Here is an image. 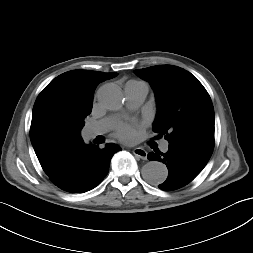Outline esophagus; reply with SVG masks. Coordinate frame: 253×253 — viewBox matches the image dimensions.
<instances>
[{
    "instance_id": "obj_1",
    "label": "esophagus",
    "mask_w": 253,
    "mask_h": 253,
    "mask_svg": "<svg viewBox=\"0 0 253 253\" xmlns=\"http://www.w3.org/2000/svg\"><path fill=\"white\" fill-rule=\"evenodd\" d=\"M132 152L136 157H138L142 160L147 159V151L145 149H143L142 147L134 148Z\"/></svg>"
}]
</instances>
